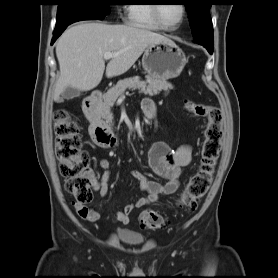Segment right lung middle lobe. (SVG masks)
<instances>
[{
	"label": "right lung middle lobe",
	"instance_id": "1",
	"mask_svg": "<svg viewBox=\"0 0 278 278\" xmlns=\"http://www.w3.org/2000/svg\"><path fill=\"white\" fill-rule=\"evenodd\" d=\"M56 27L60 28L80 20H102L110 13L113 0H57Z\"/></svg>",
	"mask_w": 278,
	"mask_h": 278
}]
</instances>
